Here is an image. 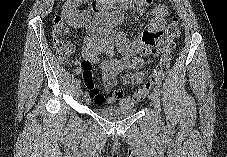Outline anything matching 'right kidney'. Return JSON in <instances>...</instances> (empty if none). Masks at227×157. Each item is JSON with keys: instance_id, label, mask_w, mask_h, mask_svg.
I'll use <instances>...</instances> for the list:
<instances>
[{"instance_id": "obj_1", "label": "right kidney", "mask_w": 227, "mask_h": 157, "mask_svg": "<svg viewBox=\"0 0 227 157\" xmlns=\"http://www.w3.org/2000/svg\"><path fill=\"white\" fill-rule=\"evenodd\" d=\"M62 15L67 20L69 25L77 26V24L79 23L80 17H78L77 15L75 5L72 4L70 1L65 3V5L63 6Z\"/></svg>"}]
</instances>
